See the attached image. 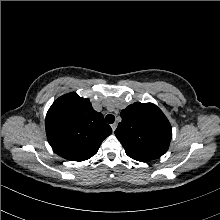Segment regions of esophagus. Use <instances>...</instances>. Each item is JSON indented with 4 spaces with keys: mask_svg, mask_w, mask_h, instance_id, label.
<instances>
[{
    "mask_svg": "<svg viewBox=\"0 0 220 220\" xmlns=\"http://www.w3.org/2000/svg\"><path fill=\"white\" fill-rule=\"evenodd\" d=\"M111 128H112V131L114 132L116 130V128H117V123H113L111 125Z\"/></svg>",
    "mask_w": 220,
    "mask_h": 220,
    "instance_id": "34e87169",
    "label": "esophagus"
}]
</instances>
